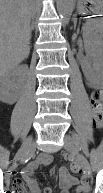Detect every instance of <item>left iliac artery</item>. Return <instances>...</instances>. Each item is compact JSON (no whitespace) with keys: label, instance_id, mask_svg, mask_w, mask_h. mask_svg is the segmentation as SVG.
I'll return each instance as SVG.
<instances>
[{"label":"left iliac artery","instance_id":"left-iliac-artery-1","mask_svg":"<svg viewBox=\"0 0 103 193\" xmlns=\"http://www.w3.org/2000/svg\"><path fill=\"white\" fill-rule=\"evenodd\" d=\"M76 143H77V146L82 149V151L84 152V154L88 157L89 156V152H88V148L87 146L82 143L81 141L79 140H76Z\"/></svg>","mask_w":103,"mask_h":193}]
</instances>
